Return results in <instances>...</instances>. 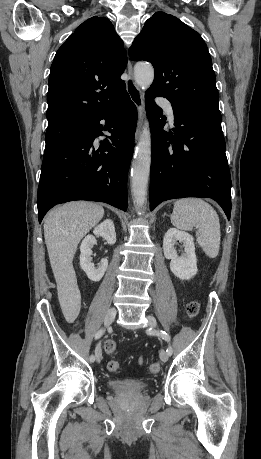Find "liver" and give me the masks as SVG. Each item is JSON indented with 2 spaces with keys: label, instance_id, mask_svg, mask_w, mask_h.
Segmentation results:
<instances>
[{
  "label": "liver",
  "instance_id": "1",
  "mask_svg": "<svg viewBox=\"0 0 261 459\" xmlns=\"http://www.w3.org/2000/svg\"><path fill=\"white\" fill-rule=\"evenodd\" d=\"M104 216L98 204L75 201L55 208L44 221V238L62 307L72 306L78 297L73 258L81 239Z\"/></svg>",
  "mask_w": 261,
  "mask_h": 459
}]
</instances>
